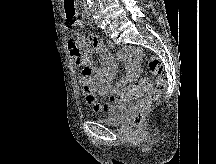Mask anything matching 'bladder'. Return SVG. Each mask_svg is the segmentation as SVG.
<instances>
[{"label":"bladder","instance_id":"1","mask_svg":"<svg viewBox=\"0 0 216 164\" xmlns=\"http://www.w3.org/2000/svg\"><path fill=\"white\" fill-rule=\"evenodd\" d=\"M127 114V108H116L112 117L97 118V121L111 126H122L125 123Z\"/></svg>","mask_w":216,"mask_h":164}]
</instances>
